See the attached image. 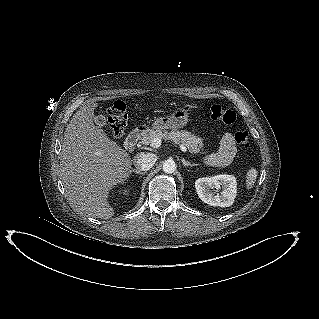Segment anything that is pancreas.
Wrapping results in <instances>:
<instances>
[{
  "mask_svg": "<svg viewBox=\"0 0 319 319\" xmlns=\"http://www.w3.org/2000/svg\"><path fill=\"white\" fill-rule=\"evenodd\" d=\"M154 138H160L161 140H170L177 144H183L193 154H199L203 151V139L191 134L188 131H162V130H150L149 134H146L141 139V144L148 145Z\"/></svg>",
  "mask_w": 319,
  "mask_h": 319,
  "instance_id": "1",
  "label": "pancreas"
}]
</instances>
